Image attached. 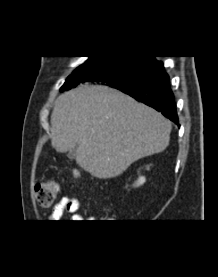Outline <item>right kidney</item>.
Listing matches in <instances>:
<instances>
[{"label":"right kidney","instance_id":"ca27d5eb","mask_svg":"<svg viewBox=\"0 0 218 277\" xmlns=\"http://www.w3.org/2000/svg\"><path fill=\"white\" fill-rule=\"evenodd\" d=\"M149 169V168H147ZM146 179L144 176H139L138 180L135 182V186L138 187V186H141L145 183Z\"/></svg>","mask_w":218,"mask_h":277}]
</instances>
